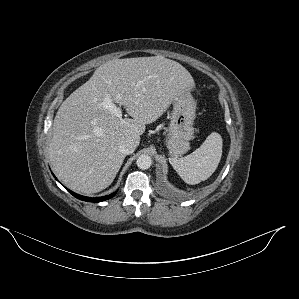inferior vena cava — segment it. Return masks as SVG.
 Returning <instances> with one entry per match:
<instances>
[{"label":"inferior vena cava","mask_w":299,"mask_h":299,"mask_svg":"<svg viewBox=\"0 0 299 299\" xmlns=\"http://www.w3.org/2000/svg\"><path fill=\"white\" fill-rule=\"evenodd\" d=\"M136 149V144L131 139L121 141L119 144V151L125 155L132 154Z\"/></svg>","instance_id":"obj_1"}]
</instances>
